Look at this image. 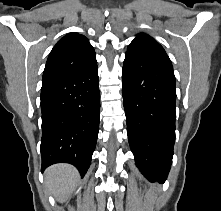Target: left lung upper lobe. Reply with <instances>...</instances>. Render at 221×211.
<instances>
[{
    "instance_id": "left-lung-upper-lobe-1",
    "label": "left lung upper lobe",
    "mask_w": 221,
    "mask_h": 211,
    "mask_svg": "<svg viewBox=\"0 0 221 211\" xmlns=\"http://www.w3.org/2000/svg\"><path fill=\"white\" fill-rule=\"evenodd\" d=\"M139 55L141 57L158 61L172 67L171 60L163 47L152 37L138 34L128 46L126 55Z\"/></svg>"
}]
</instances>
